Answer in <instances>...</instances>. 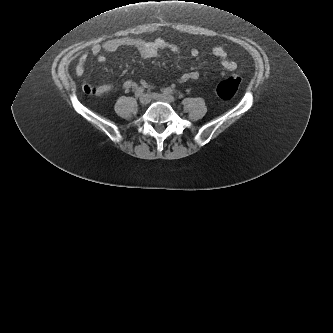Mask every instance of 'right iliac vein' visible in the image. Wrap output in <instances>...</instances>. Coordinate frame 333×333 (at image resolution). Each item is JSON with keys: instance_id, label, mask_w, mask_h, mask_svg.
<instances>
[{"instance_id": "63e3f726", "label": "right iliac vein", "mask_w": 333, "mask_h": 333, "mask_svg": "<svg viewBox=\"0 0 333 333\" xmlns=\"http://www.w3.org/2000/svg\"><path fill=\"white\" fill-rule=\"evenodd\" d=\"M151 101V97L149 94H143L141 97H140V103L142 105H147L149 102Z\"/></svg>"}]
</instances>
